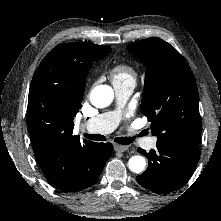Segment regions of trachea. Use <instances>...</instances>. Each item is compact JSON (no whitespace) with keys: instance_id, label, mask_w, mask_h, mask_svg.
<instances>
[{"instance_id":"1","label":"trachea","mask_w":221,"mask_h":221,"mask_svg":"<svg viewBox=\"0 0 221 221\" xmlns=\"http://www.w3.org/2000/svg\"><path fill=\"white\" fill-rule=\"evenodd\" d=\"M143 135V133H141ZM84 137L94 141H106V137L100 134H84ZM114 141L118 144L128 145L132 143L133 139L131 137H117Z\"/></svg>"}]
</instances>
